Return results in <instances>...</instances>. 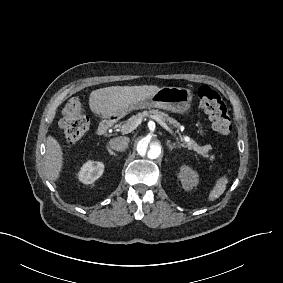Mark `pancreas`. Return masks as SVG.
Segmentation results:
<instances>
[{"mask_svg": "<svg viewBox=\"0 0 283 283\" xmlns=\"http://www.w3.org/2000/svg\"><path fill=\"white\" fill-rule=\"evenodd\" d=\"M150 115H153L154 117H159L165 123L171 124L173 127H180V123L177 120L170 118L168 114L158 111V110H151L150 112L139 113L133 116L132 121H127V123L124 124L123 126L128 127V128L131 126H134L137 122L141 121L144 117H147ZM181 141L183 142L185 148L195 151L200 156H202L204 159H209L211 162L215 159L214 155L208 154V151L212 149L210 145L200 147L195 143L194 140H190L189 142H186L183 138H181Z\"/></svg>", "mask_w": 283, "mask_h": 283, "instance_id": "pancreas-1", "label": "pancreas"}]
</instances>
